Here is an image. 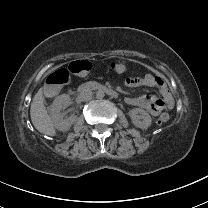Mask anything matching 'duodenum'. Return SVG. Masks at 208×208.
<instances>
[{"label": "duodenum", "mask_w": 208, "mask_h": 208, "mask_svg": "<svg viewBox=\"0 0 208 208\" xmlns=\"http://www.w3.org/2000/svg\"><path fill=\"white\" fill-rule=\"evenodd\" d=\"M88 90H99L108 94L111 97H117V92L115 90H113L110 87L104 86L102 84L96 83V82H87V83L82 84L79 87L80 92H85Z\"/></svg>", "instance_id": "1"}]
</instances>
